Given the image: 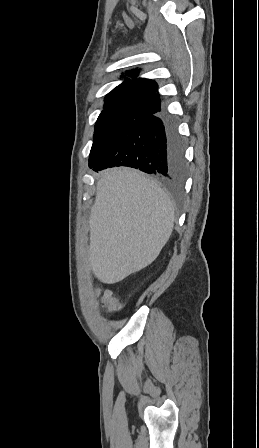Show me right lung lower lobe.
<instances>
[{"mask_svg": "<svg viewBox=\"0 0 259 448\" xmlns=\"http://www.w3.org/2000/svg\"><path fill=\"white\" fill-rule=\"evenodd\" d=\"M183 149L174 119L161 109L130 123L91 168L97 172L108 167L128 166L177 185L184 175Z\"/></svg>", "mask_w": 259, "mask_h": 448, "instance_id": "obj_1", "label": "right lung lower lobe"}]
</instances>
